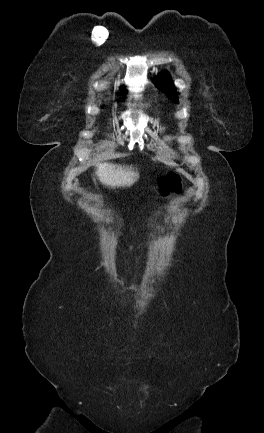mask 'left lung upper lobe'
Here are the masks:
<instances>
[{
  "label": "left lung upper lobe",
  "instance_id": "5c2ea615",
  "mask_svg": "<svg viewBox=\"0 0 264 433\" xmlns=\"http://www.w3.org/2000/svg\"><path fill=\"white\" fill-rule=\"evenodd\" d=\"M155 84L157 88L164 92L172 101H174L175 103L178 102L177 93L174 91L175 87L168 72H161L157 76Z\"/></svg>",
  "mask_w": 264,
  "mask_h": 433
}]
</instances>
